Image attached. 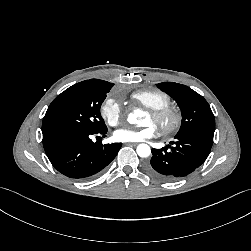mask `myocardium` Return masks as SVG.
<instances>
[{"label": "myocardium", "mask_w": 251, "mask_h": 251, "mask_svg": "<svg viewBox=\"0 0 251 251\" xmlns=\"http://www.w3.org/2000/svg\"><path fill=\"white\" fill-rule=\"evenodd\" d=\"M149 115L162 135H171L176 132L182 122L180 112L171 106L160 109H150Z\"/></svg>", "instance_id": "myocardium-1"}]
</instances>
